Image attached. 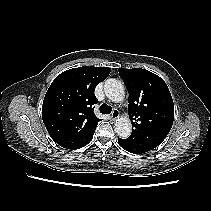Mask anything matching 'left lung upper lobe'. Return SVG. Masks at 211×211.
<instances>
[{
  "instance_id": "obj_1",
  "label": "left lung upper lobe",
  "mask_w": 211,
  "mask_h": 211,
  "mask_svg": "<svg viewBox=\"0 0 211 211\" xmlns=\"http://www.w3.org/2000/svg\"><path fill=\"white\" fill-rule=\"evenodd\" d=\"M118 70L128 89V113L133 127L123 141L132 150L148 152L163 142L172 127V96L164 80L148 70Z\"/></svg>"
}]
</instances>
